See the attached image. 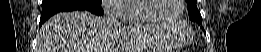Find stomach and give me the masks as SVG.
Returning <instances> with one entry per match:
<instances>
[{"label":"stomach","instance_id":"stomach-1","mask_svg":"<svg viewBox=\"0 0 261 52\" xmlns=\"http://www.w3.org/2000/svg\"><path fill=\"white\" fill-rule=\"evenodd\" d=\"M147 29H150V30H159V28H157V27H151V26H148V27H146ZM151 50H154V52H155V50H158V51H160V52H167L166 50V47H163V46H160L159 45V43L157 44V43H155V44H153L152 43V47H151Z\"/></svg>","mask_w":261,"mask_h":52}]
</instances>
